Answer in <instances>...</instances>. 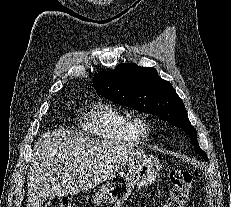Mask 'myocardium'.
<instances>
[{
    "label": "myocardium",
    "mask_w": 231,
    "mask_h": 207,
    "mask_svg": "<svg viewBox=\"0 0 231 207\" xmlns=\"http://www.w3.org/2000/svg\"><path fill=\"white\" fill-rule=\"evenodd\" d=\"M136 130L141 137H146L150 133V123L145 116L137 115L133 118Z\"/></svg>",
    "instance_id": "f54148a6"
}]
</instances>
